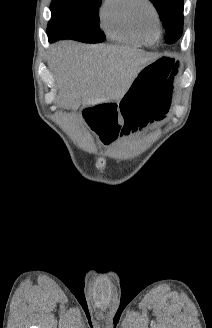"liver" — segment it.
Here are the masks:
<instances>
[{
  "label": "liver",
  "mask_w": 212,
  "mask_h": 328,
  "mask_svg": "<svg viewBox=\"0 0 212 328\" xmlns=\"http://www.w3.org/2000/svg\"><path fill=\"white\" fill-rule=\"evenodd\" d=\"M149 62L148 53L130 47L60 42L50 65L59 77L57 103L75 110L80 98L85 105L119 101Z\"/></svg>",
  "instance_id": "obj_1"
}]
</instances>
